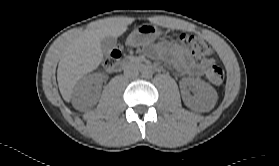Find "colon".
Segmentation results:
<instances>
[{"mask_svg":"<svg viewBox=\"0 0 279 166\" xmlns=\"http://www.w3.org/2000/svg\"><path fill=\"white\" fill-rule=\"evenodd\" d=\"M177 40L180 43L188 46L192 54L196 58H202L210 54L209 46L202 39L196 36L182 33L177 36ZM120 55H121V49L119 47L112 50L104 58L103 67L104 68L112 67L117 61V59L120 57ZM205 75L208 81L214 85H220L224 80V70L220 66L215 64L208 66Z\"/></svg>","mask_w":279,"mask_h":166,"instance_id":"colon-1","label":"colon"}]
</instances>
